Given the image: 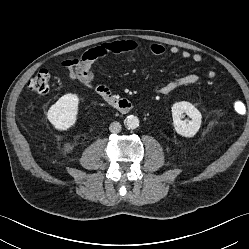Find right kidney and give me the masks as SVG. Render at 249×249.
<instances>
[{"label": "right kidney", "mask_w": 249, "mask_h": 249, "mask_svg": "<svg viewBox=\"0 0 249 249\" xmlns=\"http://www.w3.org/2000/svg\"><path fill=\"white\" fill-rule=\"evenodd\" d=\"M79 98L76 94L63 95L47 112V118L53 127L64 131L72 127L78 114Z\"/></svg>", "instance_id": "ca27d5eb"}]
</instances>
